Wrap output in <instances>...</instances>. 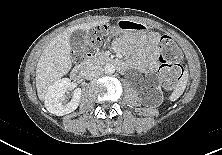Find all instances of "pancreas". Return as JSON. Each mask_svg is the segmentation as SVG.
Here are the masks:
<instances>
[{
    "mask_svg": "<svg viewBox=\"0 0 222 155\" xmlns=\"http://www.w3.org/2000/svg\"><path fill=\"white\" fill-rule=\"evenodd\" d=\"M109 60V57L106 56L103 52H97L94 56V61L98 63H105Z\"/></svg>",
    "mask_w": 222,
    "mask_h": 155,
    "instance_id": "cf45deb5",
    "label": "pancreas"
}]
</instances>
